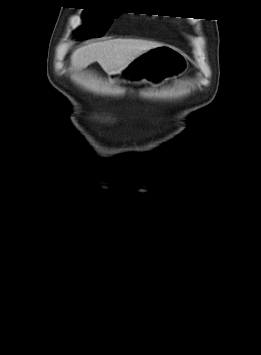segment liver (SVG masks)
Instances as JSON below:
<instances>
[{
    "mask_svg": "<svg viewBox=\"0 0 261 355\" xmlns=\"http://www.w3.org/2000/svg\"><path fill=\"white\" fill-rule=\"evenodd\" d=\"M158 46L161 44L141 39H113L91 43L72 53L71 67L82 70L97 61L106 73H119L142 53Z\"/></svg>",
    "mask_w": 261,
    "mask_h": 355,
    "instance_id": "liver-1",
    "label": "liver"
}]
</instances>
